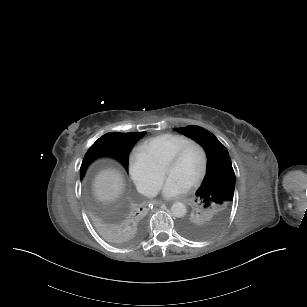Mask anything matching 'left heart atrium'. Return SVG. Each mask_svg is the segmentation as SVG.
Masks as SVG:
<instances>
[{
  "instance_id": "obj_1",
  "label": "left heart atrium",
  "mask_w": 307,
  "mask_h": 307,
  "mask_svg": "<svg viewBox=\"0 0 307 307\" xmlns=\"http://www.w3.org/2000/svg\"><path fill=\"white\" fill-rule=\"evenodd\" d=\"M189 185L174 175H166L164 179L154 184L152 192L161 194L166 198H175L185 194Z\"/></svg>"
}]
</instances>
